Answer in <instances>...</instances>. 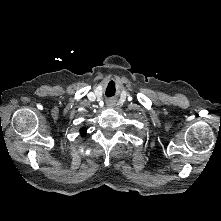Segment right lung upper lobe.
Masks as SVG:
<instances>
[{
	"mask_svg": "<svg viewBox=\"0 0 221 221\" xmlns=\"http://www.w3.org/2000/svg\"><path fill=\"white\" fill-rule=\"evenodd\" d=\"M80 132H81L82 135H85L86 128H81Z\"/></svg>",
	"mask_w": 221,
	"mask_h": 221,
	"instance_id": "right-lung-upper-lobe-1",
	"label": "right lung upper lobe"
}]
</instances>
